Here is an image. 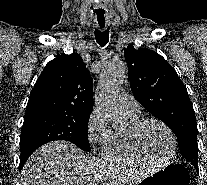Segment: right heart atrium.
<instances>
[{
	"instance_id": "right-heart-atrium-1",
	"label": "right heart atrium",
	"mask_w": 207,
	"mask_h": 185,
	"mask_svg": "<svg viewBox=\"0 0 207 185\" xmlns=\"http://www.w3.org/2000/svg\"><path fill=\"white\" fill-rule=\"evenodd\" d=\"M87 139L92 147L102 144L111 133L107 116L93 109L86 126Z\"/></svg>"
}]
</instances>
